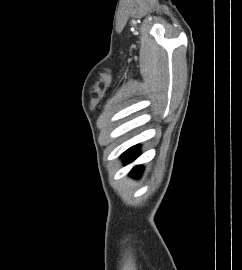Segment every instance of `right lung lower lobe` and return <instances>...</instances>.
Returning <instances> with one entry per match:
<instances>
[{
  "label": "right lung lower lobe",
  "mask_w": 242,
  "mask_h": 270,
  "mask_svg": "<svg viewBox=\"0 0 242 270\" xmlns=\"http://www.w3.org/2000/svg\"><path fill=\"white\" fill-rule=\"evenodd\" d=\"M138 147H132L130 149H128L124 154H123V158H126V160L128 162L134 160L137 156H138ZM142 172V168L141 166H136L133 168V170L131 171V175L134 177H138Z\"/></svg>",
  "instance_id": "1"
}]
</instances>
